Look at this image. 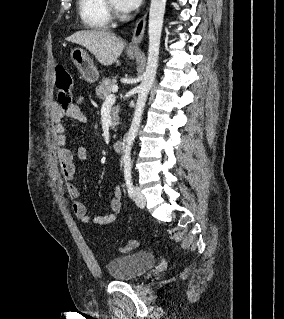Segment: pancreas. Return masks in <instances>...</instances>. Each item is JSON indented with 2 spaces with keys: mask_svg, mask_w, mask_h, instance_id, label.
I'll use <instances>...</instances> for the list:
<instances>
[{
  "mask_svg": "<svg viewBox=\"0 0 284 319\" xmlns=\"http://www.w3.org/2000/svg\"><path fill=\"white\" fill-rule=\"evenodd\" d=\"M116 85V79H109V78H103L101 82H99V85L96 87V95L102 99L105 100L106 97L112 92V87ZM118 112H119V106H114L112 108V128H114L118 124Z\"/></svg>",
  "mask_w": 284,
  "mask_h": 319,
  "instance_id": "pancreas-1",
  "label": "pancreas"
}]
</instances>
